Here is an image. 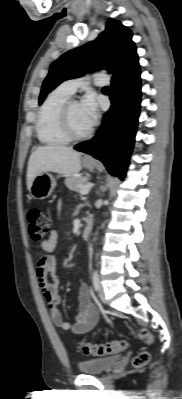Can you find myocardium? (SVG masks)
<instances>
[{
	"mask_svg": "<svg viewBox=\"0 0 182 399\" xmlns=\"http://www.w3.org/2000/svg\"><path fill=\"white\" fill-rule=\"evenodd\" d=\"M75 102L73 99H69L62 107L60 111V126L61 130L64 134V136L69 140V141H82L90 137V135L93 132V126L91 127L83 134H76L71 126L70 122V107L72 103Z\"/></svg>",
	"mask_w": 182,
	"mask_h": 399,
	"instance_id": "f54148a6",
	"label": "myocardium"
}]
</instances>
